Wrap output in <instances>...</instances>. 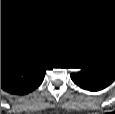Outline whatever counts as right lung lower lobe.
I'll return each instance as SVG.
<instances>
[{
    "mask_svg": "<svg viewBox=\"0 0 115 114\" xmlns=\"http://www.w3.org/2000/svg\"><path fill=\"white\" fill-rule=\"evenodd\" d=\"M48 65L43 59L1 57V89L15 95L32 92L42 83Z\"/></svg>",
    "mask_w": 115,
    "mask_h": 114,
    "instance_id": "1",
    "label": "right lung lower lobe"
}]
</instances>
